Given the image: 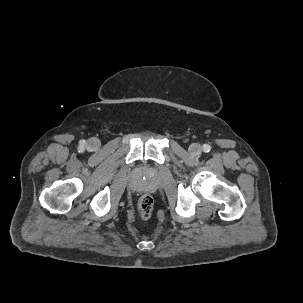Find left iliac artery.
Masks as SVG:
<instances>
[{
  "mask_svg": "<svg viewBox=\"0 0 303 303\" xmlns=\"http://www.w3.org/2000/svg\"><path fill=\"white\" fill-rule=\"evenodd\" d=\"M211 150V146L210 145H208V144H204L203 145V151L204 152H209Z\"/></svg>",
  "mask_w": 303,
  "mask_h": 303,
  "instance_id": "left-iliac-artery-1",
  "label": "left iliac artery"
}]
</instances>
